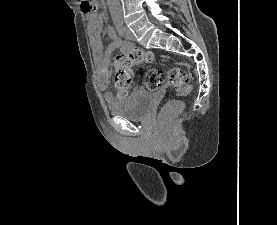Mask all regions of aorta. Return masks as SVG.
<instances>
[{"label": "aorta", "instance_id": "obj_1", "mask_svg": "<svg viewBox=\"0 0 277 225\" xmlns=\"http://www.w3.org/2000/svg\"><path fill=\"white\" fill-rule=\"evenodd\" d=\"M111 17L114 21L122 18V9L119 0H107Z\"/></svg>", "mask_w": 277, "mask_h": 225}]
</instances>
